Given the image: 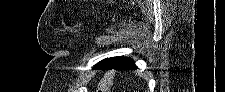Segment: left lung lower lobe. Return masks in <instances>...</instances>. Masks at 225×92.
I'll list each match as a JSON object with an SVG mask.
<instances>
[{
    "mask_svg": "<svg viewBox=\"0 0 225 92\" xmlns=\"http://www.w3.org/2000/svg\"><path fill=\"white\" fill-rule=\"evenodd\" d=\"M99 70H134L137 66L134 61L127 57H112L105 59L100 65L96 67Z\"/></svg>",
    "mask_w": 225,
    "mask_h": 92,
    "instance_id": "left-lung-lower-lobe-1",
    "label": "left lung lower lobe"
}]
</instances>
